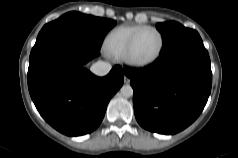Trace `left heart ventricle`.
<instances>
[{"label":"left heart ventricle","instance_id":"left-heart-ventricle-1","mask_svg":"<svg viewBox=\"0 0 238 158\" xmlns=\"http://www.w3.org/2000/svg\"><path fill=\"white\" fill-rule=\"evenodd\" d=\"M159 48V36L155 31L146 30L137 39L133 55L138 60L153 57Z\"/></svg>","mask_w":238,"mask_h":158}]
</instances>
